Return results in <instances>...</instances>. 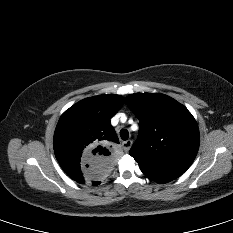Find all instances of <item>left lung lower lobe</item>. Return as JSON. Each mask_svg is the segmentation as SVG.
<instances>
[{"mask_svg": "<svg viewBox=\"0 0 233 233\" xmlns=\"http://www.w3.org/2000/svg\"><path fill=\"white\" fill-rule=\"evenodd\" d=\"M140 168H141V171L144 173V175H146L152 181H155L158 183H167L182 175L181 172L158 171V170L147 169L143 167H140Z\"/></svg>", "mask_w": 233, "mask_h": 233, "instance_id": "left-lung-lower-lobe-1", "label": "left lung lower lobe"}]
</instances>
